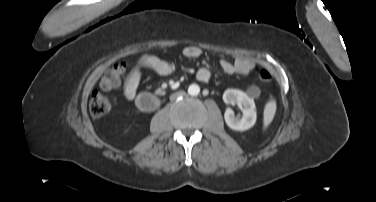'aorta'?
Instances as JSON below:
<instances>
[{"instance_id": "762f6f07", "label": "aorta", "mask_w": 376, "mask_h": 202, "mask_svg": "<svg viewBox=\"0 0 376 202\" xmlns=\"http://www.w3.org/2000/svg\"><path fill=\"white\" fill-rule=\"evenodd\" d=\"M199 92H200V88L197 84H191L188 87V94H190L191 96H197Z\"/></svg>"}]
</instances>
